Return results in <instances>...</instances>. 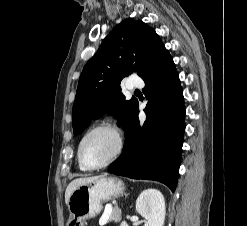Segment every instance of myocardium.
Here are the masks:
<instances>
[{"mask_svg": "<svg viewBox=\"0 0 247 226\" xmlns=\"http://www.w3.org/2000/svg\"><path fill=\"white\" fill-rule=\"evenodd\" d=\"M100 130L110 131L115 136V138H116V148H115L113 154L105 162H103V163H101L99 165H96V166H89L83 160V156H82L83 144H84V141L86 140V138L89 135H91L92 133H94L96 131H100ZM123 148H124V140H123V136H122V133L119 130V128L114 123L102 122V123H99V124L95 125L91 129H89L82 136V138H81V140L79 142L78 151H77L78 161L86 170L102 169V168H105V167L109 166L114 161H116L120 157V155L122 154Z\"/></svg>", "mask_w": 247, "mask_h": 226, "instance_id": "myocardium-1", "label": "myocardium"}]
</instances>
